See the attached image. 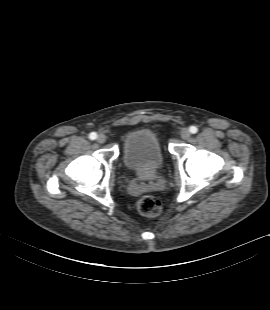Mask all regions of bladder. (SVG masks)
Returning a JSON list of instances; mask_svg holds the SVG:
<instances>
[{"mask_svg": "<svg viewBox=\"0 0 270 310\" xmlns=\"http://www.w3.org/2000/svg\"><path fill=\"white\" fill-rule=\"evenodd\" d=\"M122 159L125 167L146 175L156 174L164 163L158 135L151 129H137L123 141Z\"/></svg>", "mask_w": 270, "mask_h": 310, "instance_id": "bladder-1", "label": "bladder"}]
</instances>
